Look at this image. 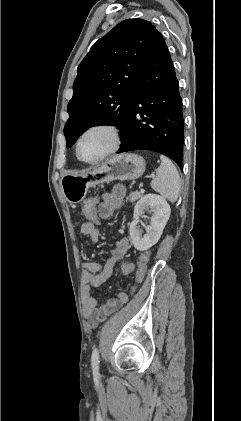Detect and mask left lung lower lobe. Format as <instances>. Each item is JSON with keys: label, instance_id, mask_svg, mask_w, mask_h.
<instances>
[{"label": "left lung lower lobe", "instance_id": "left-lung-lower-lobe-1", "mask_svg": "<svg viewBox=\"0 0 241 421\" xmlns=\"http://www.w3.org/2000/svg\"><path fill=\"white\" fill-rule=\"evenodd\" d=\"M178 84L169 50L159 34L137 82L118 153L155 151L172 158L182 169L184 122Z\"/></svg>", "mask_w": 241, "mask_h": 421}]
</instances>
